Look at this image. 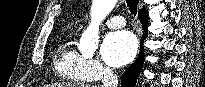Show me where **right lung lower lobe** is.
I'll return each mask as SVG.
<instances>
[{
  "mask_svg": "<svg viewBox=\"0 0 205 87\" xmlns=\"http://www.w3.org/2000/svg\"><path fill=\"white\" fill-rule=\"evenodd\" d=\"M147 11L145 8H142L138 13V18L142 24L143 28V36L140 40L141 43V51L139 53L138 58L136 61L125 71L122 76L121 85L122 87H134L140 73V70L143 65L144 61V48H143V41L147 37V29H148V19H147Z\"/></svg>",
  "mask_w": 205,
  "mask_h": 87,
  "instance_id": "obj_1",
  "label": "right lung lower lobe"
}]
</instances>
